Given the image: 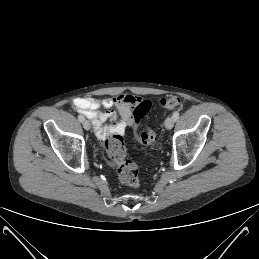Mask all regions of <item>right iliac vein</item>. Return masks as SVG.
I'll return each instance as SVG.
<instances>
[{
	"label": "right iliac vein",
	"instance_id": "right-iliac-vein-1",
	"mask_svg": "<svg viewBox=\"0 0 259 259\" xmlns=\"http://www.w3.org/2000/svg\"><path fill=\"white\" fill-rule=\"evenodd\" d=\"M83 127H84V129L85 130H90V128H91V124H90V122L88 121V120H84L83 121Z\"/></svg>",
	"mask_w": 259,
	"mask_h": 259
}]
</instances>
